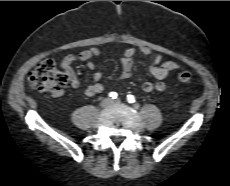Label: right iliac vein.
I'll return each mask as SVG.
<instances>
[{
	"instance_id": "1",
	"label": "right iliac vein",
	"mask_w": 230,
	"mask_h": 186,
	"mask_svg": "<svg viewBox=\"0 0 230 186\" xmlns=\"http://www.w3.org/2000/svg\"><path fill=\"white\" fill-rule=\"evenodd\" d=\"M111 104V100L109 98H105L101 102L102 107H108Z\"/></svg>"
}]
</instances>
